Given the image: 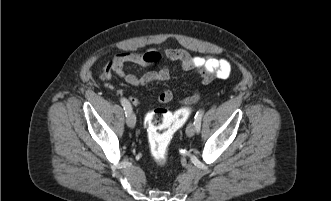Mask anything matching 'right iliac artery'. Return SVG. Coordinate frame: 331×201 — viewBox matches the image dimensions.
<instances>
[{
	"mask_svg": "<svg viewBox=\"0 0 331 201\" xmlns=\"http://www.w3.org/2000/svg\"><path fill=\"white\" fill-rule=\"evenodd\" d=\"M120 101H121L122 106L124 107L125 114H126V116H127L129 113L132 112L131 104H130V102H129L127 99H125V98H122Z\"/></svg>",
	"mask_w": 331,
	"mask_h": 201,
	"instance_id": "right-iliac-artery-1",
	"label": "right iliac artery"
}]
</instances>
